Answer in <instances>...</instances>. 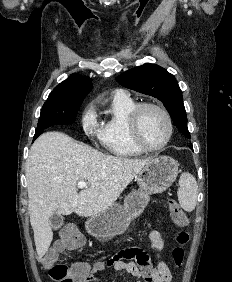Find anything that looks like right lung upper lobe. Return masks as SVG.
<instances>
[{"label":"right lung upper lobe","mask_w":232,"mask_h":282,"mask_svg":"<svg viewBox=\"0 0 232 282\" xmlns=\"http://www.w3.org/2000/svg\"><path fill=\"white\" fill-rule=\"evenodd\" d=\"M92 89L91 79L87 76L72 74L67 80L57 85L48 99H69L85 97Z\"/></svg>","instance_id":"right-lung-upper-lobe-1"}]
</instances>
